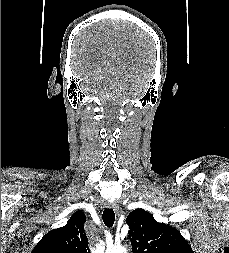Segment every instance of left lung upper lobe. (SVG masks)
I'll use <instances>...</instances> for the list:
<instances>
[{"label":"left lung upper lobe","mask_w":229,"mask_h":253,"mask_svg":"<svg viewBox=\"0 0 229 253\" xmlns=\"http://www.w3.org/2000/svg\"><path fill=\"white\" fill-rule=\"evenodd\" d=\"M126 223L133 253H193L178 230L158 223L144 209L132 211Z\"/></svg>","instance_id":"obj_1"}]
</instances>
